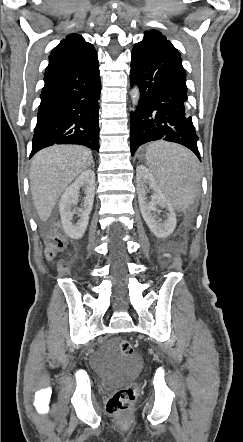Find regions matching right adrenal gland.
Returning <instances> with one entry per match:
<instances>
[{
    "instance_id": "2a0ac1e0",
    "label": "right adrenal gland",
    "mask_w": 243,
    "mask_h": 442,
    "mask_svg": "<svg viewBox=\"0 0 243 442\" xmlns=\"http://www.w3.org/2000/svg\"><path fill=\"white\" fill-rule=\"evenodd\" d=\"M92 167L94 168V163L92 164Z\"/></svg>"
}]
</instances>
